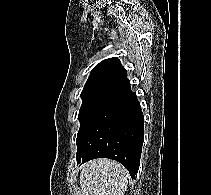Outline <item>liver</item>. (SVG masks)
Listing matches in <instances>:
<instances>
[{
  "label": "liver",
  "instance_id": "6515ba94",
  "mask_svg": "<svg viewBox=\"0 0 211 195\" xmlns=\"http://www.w3.org/2000/svg\"><path fill=\"white\" fill-rule=\"evenodd\" d=\"M129 173L120 163L99 158L81 167L80 186L82 195H124Z\"/></svg>",
  "mask_w": 211,
  "mask_h": 195
}]
</instances>
